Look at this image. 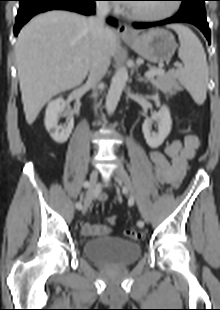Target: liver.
Masks as SVG:
<instances>
[{"label":"liver","instance_id":"liver-1","mask_svg":"<svg viewBox=\"0 0 220 310\" xmlns=\"http://www.w3.org/2000/svg\"><path fill=\"white\" fill-rule=\"evenodd\" d=\"M108 29L109 56L117 37ZM92 34L88 19L67 11L34 17L20 31L15 56L26 121L31 125L43 106L60 92L80 86L91 58Z\"/></svg>","mask_w":220,"mask_h":310}]
</instances>
